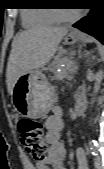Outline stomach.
Returning <instances> with one entry per match:
<instances>
[{"instance_id":"obj_1","label":"stomach","mask_w":104,"mask_h":169,"mask_svg":"<svg viewBox=\"0 0 104 169\" xmlns=\"http://www.w3.org/2000/svg\"><path fill=\"white\" fill-rule=\"evenodd\" d=\"M78 37L68 34L65 44H73ZM11 99L15 110L25 118L38 119L47 115L55 104L56 95L46 76L39 70L23 74L16 81Z\"/></svg>"}]
</instances>
